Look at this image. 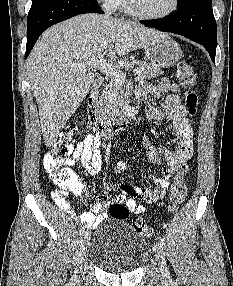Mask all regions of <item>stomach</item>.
<instances>
[{
	"label": "stomach",
	"instance_id": "obj_1",
	"mask_svg": "<svg viewBox=\"0 0 233 286\" xmlns=\"http://www.w3.org/2000/svg\"><path fill=\"white\" fill-rule=\"evenodd\" d=\"M145 55L153 67L169 68L181 59L182 50L176 41L166 35L147 45Z\"/></svg>",
	"mask_w": 233,
	"mask_h": 286
}]
</instances>
